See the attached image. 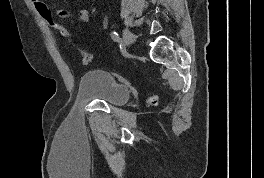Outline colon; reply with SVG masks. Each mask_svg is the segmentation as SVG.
<instances>
[{
    "label": "colon",
    "mask_w": 264,
    "mask_h": 178,
    "mask_svg": "<svg viewBox=\"0 0 264 178\" xmlns=\"http://www.w3.org/2000/svg\"><path fill=\"white\" fill-rule=\"evenodd\" d=\"M36 11L44 22L50 27L58 31L62 36L69 37V33L66 28L54 18L51 8L42 0H32ZM79 59L83 65H88L93 61V54L90 52L77 50ZM153 103L154 100H152Z\"/></svg>",
    "instance_id": "colon-1"
}]
</instances>
